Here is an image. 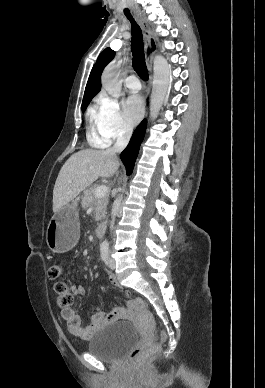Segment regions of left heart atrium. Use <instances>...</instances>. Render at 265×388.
Masks as SVG:
<instances>
[{"instance_id": "1", "label": "left heart atrium", "mask_w": 265, "mask_h": 388, "mask_svg": "<svg viewBox=\"0 0 265 388\" xmlns=\"http://www.w3.org/2000/svg\"><path fill=\"white\" fill-rule=\"evenodd\" d=\"M124 114L131 123H136L140 120L143 114V103L140 95L132 94L126 99Z\"/></svg>"}]
</instances>
